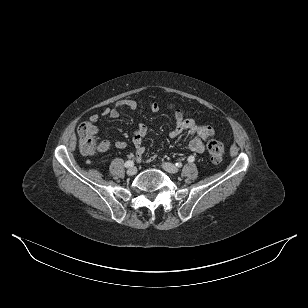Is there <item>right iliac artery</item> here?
<instances>
[{
	"mask_svg": "<svg viewBox=\"0 0 308 308\" xmlns=\"http://www.w3.org/2000/svg\"><path fill=\"white\" fill-rule=\"evenodd\" d=\"M134 164H133V161H127L125 163V167H132Z\"/></svg>",
	"mask_w": 308,
	"mask_h": 308,
	"instance_id": "1",
	"label": "right iliac artery"
}]
</instances>
